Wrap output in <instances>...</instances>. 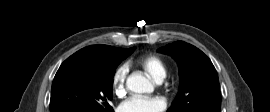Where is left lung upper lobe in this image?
I'll return each instance as SVG.
<instances>
[{
  "instance_id": "obj_1",
  "label": "left lung upper lobe",
  "mask_w": 270,
  "mask_h": 112,
  "mask_svg": "<svg viewBox=\"0 0 270 112\" xmlns=\"http://www.w3.org/2000/svg\"><path fill=\"white\" fill-rule=\"evenodd\" d=\"M158 52L171 55L179 65V91L167 112H221L218 75L201 50L177 41Z\"/></svg>"
}]
</instances>
